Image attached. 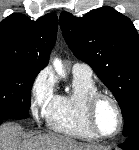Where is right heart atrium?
Wrapping results in <instances>:
<instances>
[{"label": "right heart atrium", "instance_id": "right-heart-atrium-1", "mask_svg": "<svg viewBox=\"0 0 139 150\" xmlns=\"http://www.w3.org/2000/svg\"><path fill=\"white\" fill-rule=\"evenodd\" d=\"M54 97V87L45 72H40L32 84L31 111L33 115L44 114V111Z\"/></svg>", "mask_w": 139, "mask_h": 150}]
</instances>
